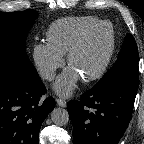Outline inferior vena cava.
Here are the masks:
<instances>
[{
    "label": "inferior vena cava",
    "mask_w": 144,
    "mask_h": 144,
    "mask_svg": "<svg viewBox=\"0 0 144 144\" xmlns=\"http://www.w3.org/2000/svg\"><path fill=\"white\" fill-rule=\"evenodd\" d=\"M55 77V73L53 71H47L43 74V78L47 80H53Z\"/></svg>",
    "instance_id": "inferior-vena-cava-1"
}]
</instances>
